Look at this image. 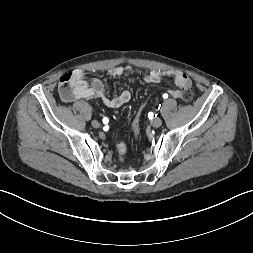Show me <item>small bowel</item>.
<instances>
[{
	"label": "small bowel",
	"mask_w": 253,
	"mask_h": 253,
	"mask_svg": "<svg viewBox=\"0 0 253 253\" xmlns=\"http://www.w3.org/2000/svg\"><path fill=\"white\" fill-rule=\"evenodd\" d=\"M109 75L113 78L124 76L132 72L131 67L116 66L109 69ZM67 76L66 86H63L62 77L60 79V94L65 102L71 103L80 99H99L108 108H119L131 100V93L123 90L115 96H109L105 92V87L100 79H93L90 83L85 80V73L81 69L73 70L64 75ZM165 77H172L177 89L170 90L169 95L174 98H183L184 92L191 88V80L184 72L179 70L162 71L151 70L144 76L145 83H158ZM120 157L123 158L126 150L124 143L117 144Z\"/></svg>",
	"instance_id": "1"
}]
</instances>
